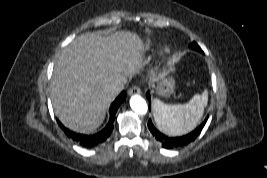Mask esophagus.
<instances>
[{
    "label": "esophagus",
    "instance_id": "1",
    "mask_svg": "<svg viewBox=\"0 0 267 178\" xmlns=\"http://www.w3.org/2000/svg\"><path fill=\"white\" fill-rule=\"evenodd\" d=\"M140 93H141V90L137 86H133L128 90V95H130V96L134 95V94H140Z\"/></svg>",
    "mask_w": 267,
    "mask_h": 178
}]
</instances>
